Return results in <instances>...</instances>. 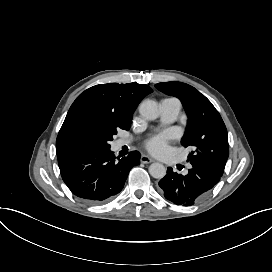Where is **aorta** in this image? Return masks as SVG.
<instances>
[{
    "label": "aorta",
    "mask_w": 272,
    "mask_h": 272,
    "mask_svg": "<svg viewBox=\"0 0 272 272\" xmlns=\"http://www.w3.org/2000/svg\"><path fill=\"white\" fill-rule=\"evenodd\" d=\"M139 112L142 116L149 120H154L159 117L158 103L154 100H144ZM149 173L153 178L162 179L166 175V168L163 164L155 162L149 166Z\"/></svg>",
    "instance_id": "aorta-1"
}]
</instances>
